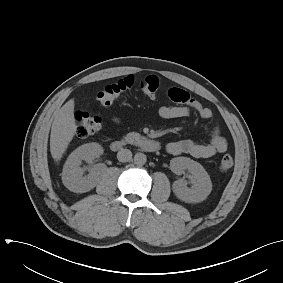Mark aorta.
Here are the masks:
<instances>
[{"instance_id":"1","label":"aorta","mask_w":283,"mask_h":283,"mask_svg":"<svg viewBox=\"0 0 283 283\" xmlns=\"http://www.w3.org/2000/svg\"><path fill=\"white\" fill-rule=\"evenodd\" d=\"M147 161V157L144 153H136L134 156V162L136 165H144Z\"/></svg>"}]
</instances>
